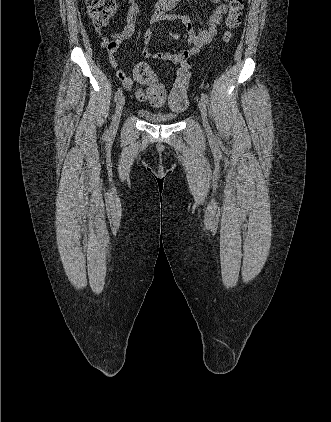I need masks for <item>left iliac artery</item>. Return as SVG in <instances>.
<instances>
[{"mask_svg": "<svg viewBox=\"0 0 331 422\" xmlns=\"http://www.w3.org/2000/svg\"><path fill=\"white\" fill-rule=\"evenodd\" d=\"M202 98L204 99L205 103L208 104L209 98H208V95L206 93H202Z\"/></svg>", "mask_w": 331, "mask_h": 422, "instance_id": "obj_1", "label": "left iliac artery"}]
</instances>
